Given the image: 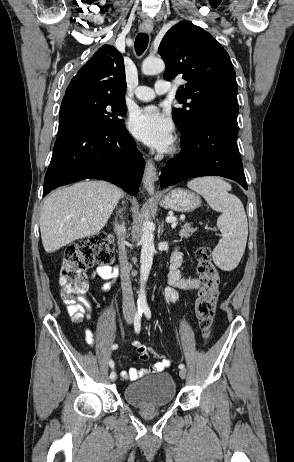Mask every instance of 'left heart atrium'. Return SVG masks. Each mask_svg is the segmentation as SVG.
<instances>
[{
  "label": "left heart atrium",
  "instance_id": "39dd6f15",
  "mask_svg": "<svg viewBox=\"0 0 294 462\" xmlns=\"http://www.w3.org/2000/svg\"><path fill=\"white\" fill-rule=\"evenodd\" d=\"M128 126L138 139L159 152L167 151L174 141L171 119L161 114L155 106L134 111L129 118Z\"/></svg>",
  "mask_w": 294,
  "mask_h": 462
}]
</instances>
